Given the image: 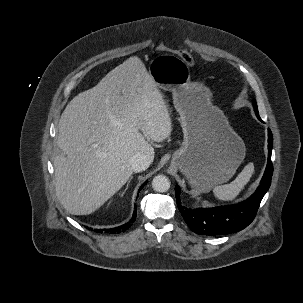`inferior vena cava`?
Masks as SVG:
<instances>
[{
    "instance_id": "inferior-vena-cava-1",
    "label": "inferior vena cava",
    "mask_w": 303,
    "mask_h": 303,
    "mask_svg": "<svg viewBox=\"0 0 303 303\" xmlns=\"http://www.w3.org/2000/svg\"><path fill=\"white\" fill-rule=\"evenodd\" d=\"M152 160L144 154H135L131 160L130 165L134 172H141L146 170L151 164Z\"/></svg>"
}]
</instances>
